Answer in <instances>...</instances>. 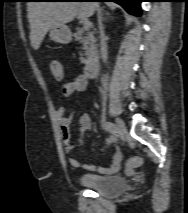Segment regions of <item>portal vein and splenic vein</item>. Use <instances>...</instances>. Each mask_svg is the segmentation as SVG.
I'll list each match as a JSON object with an SVG mask.
<instances>
[{"label":"portal vein and splenic vein","mask_w":188,"mask_h":213,"mask_svg":"<svg viewBox=\"0 0 188 213\" xmlns=\"http://www.w3.org/2000/svg\"><path fill=\"white\" fill-rule=\"evenodd\" d=\"M92 26V23L88 20L83 21V28L89 29Z\"/></svg>","instance_id":"18ae733b"}]
</instances>
